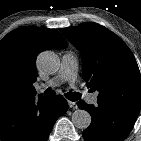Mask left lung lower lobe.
Returning <instances> with one entry per match:
<instances>
[{"label":"left lung lower lobe","mask_w":141,"mask_h":141,"mask_svg":"<svg viewBox=\"0 0 141 141\" xmlns=\"http://www.w3.org/2000/svg\"><path fill=\"white\" fill-rule=\"evenodd\" d=\"M97 106L78 102L80 109L92 116L90 126L83 132L86 141H123L130 133L139 109L119 108L97 102Z\"/></svg>","instance_id":"left-lung-lower-lobe-1"}]
</instances>
